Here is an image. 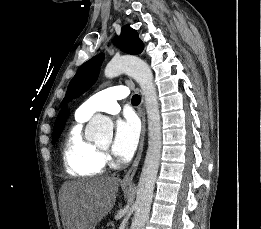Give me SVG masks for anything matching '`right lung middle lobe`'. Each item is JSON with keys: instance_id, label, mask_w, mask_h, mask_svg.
Listing matches in <instances>:
<instances>
[{"instance_id": "dd1d6c3e", "label": "right lung middle lobe", "mask_w": 261, "mask_h": 229, "mask_svg": "<svg viewBox=\"0 0 261 229\" xmlns=\"http://www.w3.org/2000/svg\"><path fill=\"white\" fill-rule=\"evenodd\" d=\"M64 124L62 125H54V131H53V138H52V143L54 144L58 138L61 135V132L63 130Z\"/></svg>"}]
</instances>
